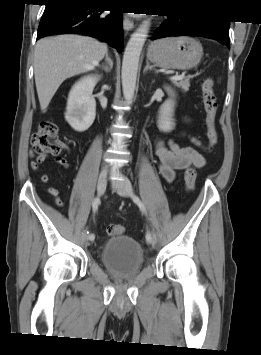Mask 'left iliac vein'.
<instances>
[{
    "instance_id": "4c4485c4",
    "label": "left iliac vein",
    "mask_w": 261,
    "mask_h": 355,
    "mask_svg": "<svg viewBox=\"0 0 261 355\" xmlns=\"http://www.w3.org/2000/svg\"><path fill=\"white\" fill-rule=\"evenodd\" d=\"M113 188L117 194L123 197H128L132 193V186L127 179H124L123 184L113 183ZM153 246L157 243V238L154 235L152 241L150 242Z\"/></svg>"
}]
</instances>
